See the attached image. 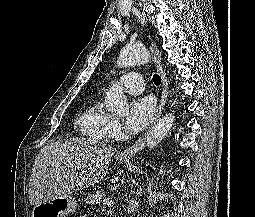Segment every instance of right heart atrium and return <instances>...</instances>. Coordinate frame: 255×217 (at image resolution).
<instances>
[{
    "instance_id": "right-heart-atrium-1",
    "label": "right heart atrium",
    "mask_w": 255,
    "mask_h": 217,
    "mask_svg": "<svg viewBox=\"0 0 255 217\" xmlns=\"http://www.w3.org/2000/svg\"><path fill=\"white\" fill-rule=\"evenodd\" d=\"M109 134L111 137H118L121 135V125L120 122L112 118L109 124Z\"/></svg>"
}]
</instances>
